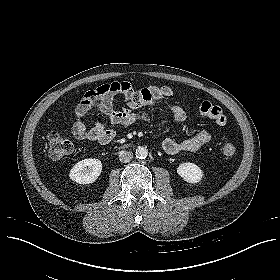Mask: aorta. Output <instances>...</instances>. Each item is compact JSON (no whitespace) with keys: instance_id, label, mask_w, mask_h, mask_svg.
<instances>
[{"instance_id":"762f6f07","label":"aorta","mask_w":280,"mask_h":280,"mask_svg":"<svg viewBox=\"0 0 280 280\" xmlns=\"http://www.w3.org/2000/svg\"><path fill=\"white\" fill-rule=\"evenodd\" d=\"M136 156H137L139 159H145V158L148 156V150L146 149V147L139 146V147L136 149Z\"/></svg>"}]
</instances>
